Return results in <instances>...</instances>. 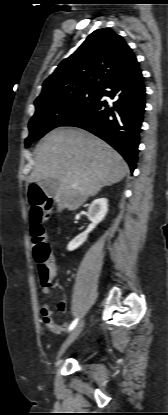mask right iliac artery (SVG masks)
Listing matches in <instances>:
<instances>
[{
  "instance_id": "82829eb1",
  "label": "right iliac artery",
  "mask_w": 168,
  "mask_h": 415,
  "mask_svg": "<svg viewBox=\"0 0 168 415\" xmlns=\"http://www.w3.org/2000/svg\"><path fill=\"white\" fill-rule=\"evenodd\" d=\"M79 318H76L69 326V331L73 330L78 323Z\"/></svg>"
}]
</instances>
